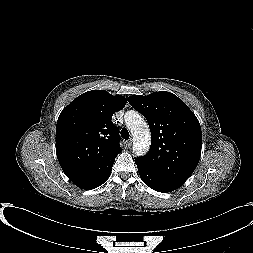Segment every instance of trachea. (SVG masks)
Returning <instances> with one entry per match:
<instances>
[{"label": "trachea", "instance_id": "3493384b", "mask_svg": "<svg viewBox=\"0 0 253 253\" xmlns=\"http://www.w3.org/2000/svg\"><path fill=\"white\" fill-rule=\"evenodd\" d=\"M129 132H128V130L126 129V128H123L122 130H121V137L123 138V139H128L129 138Z\"/></svg>", "mask_w": 253, "mask_h": 253}]
</instances>
